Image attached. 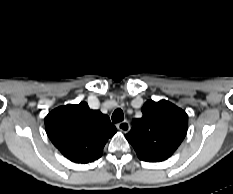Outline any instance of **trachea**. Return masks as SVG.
Here are the masks:
<instances>
[{
    "label": "trachea",
    "instance_id": "obj_1",
    "mask_svg": "<svg viewBox=\"0 0 233 194\" xmlns=\"http://www.w3.org/2000/svg\"><path fill=\"white\" fill-rule=\"evenodd\" d=\"M124 120V114L121 109H116L112 114V122L118 123Z\"/></svg>",
    "mask_w": 233,
    "mask_h": 194
}]
</instances>
